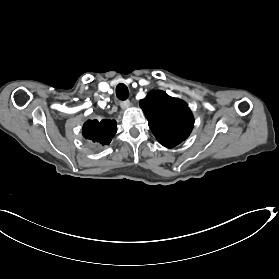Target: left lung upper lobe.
I'll return each instance as SVG.
<instances>
[{"mask_svg":"<svg viewBox=\"0 0 279 279\" xmlns=\"http://www.w3.org/2000/svg\"><path fill=\"white\" fill-rule=\"evenodd\" d=\"M140 107L152 133L167 148L180 144L193 129L194 118L187 104L163 91H151L140 101Z\"/></svg>","mask_w":279,"mask_h":279,"instance_id":"1","label":"left lung upper lobe"}]
</instances>
